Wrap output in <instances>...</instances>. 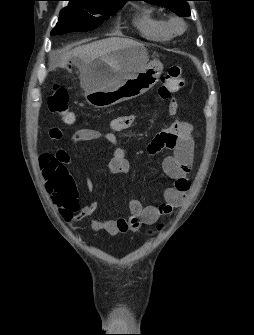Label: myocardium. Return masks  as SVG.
<instances>
[{
    "label": "myocardium",
    "instance_id": "1",
    "mask_svg": "<svg viewBox=\"0 0 254 335\" xmlns=\"http://www.w3.org/2000/svg\"><path fill=\"white\" fill-rule=\"evenodd\" d=\"M167 27L172 34L178 35L185 31L186 24L179 17H172L167 21Z\"/></svg>",
    "mask_w": 254,
    "mask_h": 335
}]
</instances>
